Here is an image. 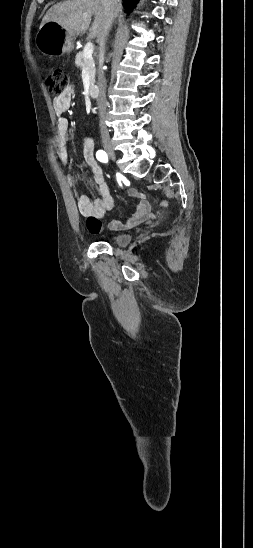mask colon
<instances>
[{"instance_id": "1", "label": "colon", "mask_w": 253, "mask_h": 548, "mask_svg": "<svg viewBox=\"0 0 253 548\" xmlns=\"http://www.w3.org/2000/svg\"><path fill=\"white\" fill-rule=\"evenodd\" d=\"M49 90L54 95L61 94L68 87V76L61 68H51L46 78Z\"/></svg>"}]
</instances>
